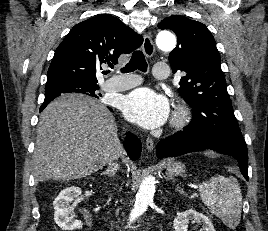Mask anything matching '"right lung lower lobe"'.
Wrapping results in <instances>:
<instances>
[{"label":"right lung lower lobe","mask_w":268,"mask_h":231,"mask_svg":"<svg viewBox=\"0 0 268 231\" xmlns=\"http://www.w3.org/2000/svg\"><path fill=\"white\" fill-rule=\"evenodd\" d=\"M45 108V107H44ZM40 108V112L44 109ZM110 109V108H109ZM111 110V109H110ZM124 146L131 160H137L141 154V142L133 134L128 133Z\"/></svg>","instance_id":"obj_1"}]
</instances>
